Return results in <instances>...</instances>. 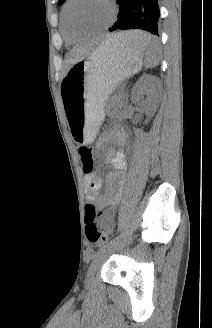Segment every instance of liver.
Wrapping results in <instances>:
<instances>
[{"mask_svg":"<svg viewBox=\"0 0 212 328\" xmlns=\"http://www.w3.org/2000/svg\"><path fill=\"white\" fill-rule=\"evenodd\" d=\"M111 35H108L107 37H110ZM89 54H91V51L89 49L86 48H74L71 51H69L67 57H66V65H67V70L74 65L76 62H78L79 60L85 58L86 56H88Z\"/></svg>","mask_w":212,"mask_h":328,"instance_id":"obj_1","label":"liver"}]
</instances>
